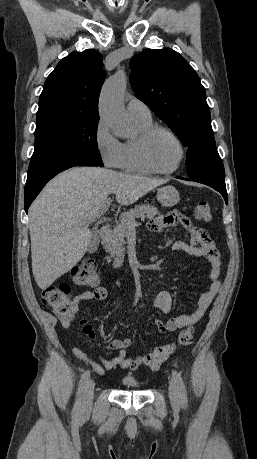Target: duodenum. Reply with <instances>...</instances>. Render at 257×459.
I'll use <instances>...</instances> for the list:
<instances>
[{
  "label": "duodenum",
  "mask_w": 257,
  "mask_h": 459,
  "mask_svg": "<svg viewBox=\"0 0 257 459\" xmlns=\"http://www.w3.org/2000/svg\"><path fill=\"white\" fill-rule=\"evenodd\" d=\"M110 230H111V226H110V225H108V224H107V225H104V226L100 229V231H99L100 237H106V236L110 233ZM114 262H115V264H116L117 266H120L121 263H122V258H121V256L115 257Z\"/></svg>",
  "instance_id": "obj_1"
}]
</instances>
